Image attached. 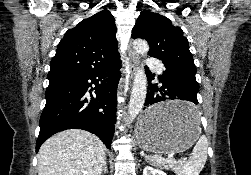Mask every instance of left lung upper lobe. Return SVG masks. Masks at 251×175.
<instances>
[{
  "mask_svg": "<svg viewBox=\"0 0 251 175\" xmlns=\"http://www.w3.org/2000/svg\"><path fill=\"white\" fill-rule=\"evenodd\" d=\"M133 38L145 39L150 46L148 55L161 59L165 65L196 72L189 43L180 27L158 13L141 11L132 30Z\"/></svg>",
  "mask_w": 251,
  "mask_h": 175,
  "instance_id": "obj_1",
  "label": "left lung upper lobe"
}]
</instances>
